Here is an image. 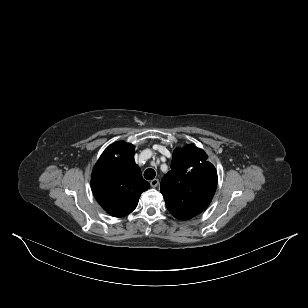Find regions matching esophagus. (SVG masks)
<instances>
[{
    "label": "esophagus",
    "instance_id": "1",
    "mask_svg": "<svg viewBox=\"0 0 308 308\" xmlns=\"http://www.w3.org/2000/svg\"><path fill=\"white\" fill-rule=\"evenodd\" d=\"M158 184H159V180L158 179H153V180L150 181V185L153 188L157 187Z\"/></svg>",
    "mask_w": 308,
    "mask_h": 308
}]
</instances>
